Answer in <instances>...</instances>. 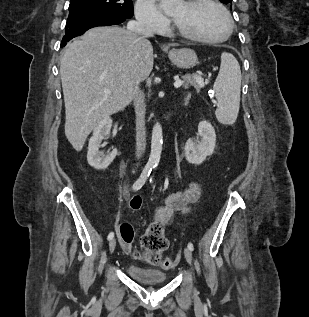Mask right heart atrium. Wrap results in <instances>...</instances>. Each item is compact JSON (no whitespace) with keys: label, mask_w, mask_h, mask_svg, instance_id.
I'll return each mask as SVG.
<instances>
[{"label":"right heart atrium","mask_w":309,"mask_h":317,"mask_svg":"<svg viewBox=\"0 0 309 317\" xmlns=\"http://www.w3.org/2000/svg\"><path fill=\"white\" fill-rule=\"evenodd\" d=\"M135 18L145 32L156 33L168 28V18L158 9L154 0H136Z\"/></svg>","instance_id":"obj_1"}]
</instances>
